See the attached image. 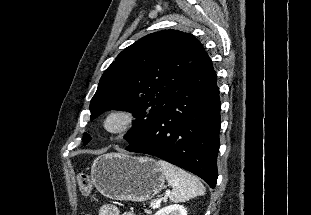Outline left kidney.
Wrapping results in <instances>:
<instances>
[{"label": "left kidney", "instance_id": "1", "mask_svg": "<svg viewBox=\"0 0 311 215\" xmlns=\"http://www.w3.org/2000/svg\"><path fill=\"white\" fill-rule=\"evenodd\" d=\"M155 215H187V210L183 205L174 204L160 209Z\"/></svg>", "mask_w": 311, "mask_h": 215}]
</instances>
